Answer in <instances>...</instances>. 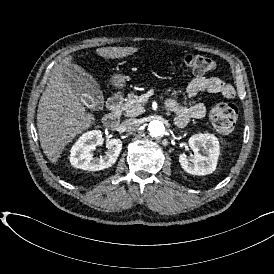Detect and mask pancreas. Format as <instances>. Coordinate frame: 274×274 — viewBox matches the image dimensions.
I'll return each mask as SVG.
<instances>
[{
	"label": "pancreas",
	"mask_w": 274,
	"mask_h": 274,
	"mask_svg": "<svg viewBox=\"0 0 274 274\" xmlns=\"http://www.w3.org/2000/svg\"><path fill=\"white\" fill-rule=\"evenodd\" d=\"M122 113L125 116H138L144 113V108L139 102V96L135 93H129L126 102L122 106Z\"/></svg>",
	"instance_id": "obj_1"
}]
</instances>
